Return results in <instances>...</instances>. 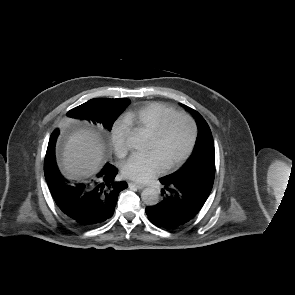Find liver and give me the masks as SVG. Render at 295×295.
I'll return each instance as SVG.
<instances>
[{
    "label": "liver",
    "mask_w": 295,
    "mask_h": 295,
    "mask_svg": "<svg viewBox=\"0 0 295 295\" xmlns=\"http://www.w3.org/2000/svg\"><path fill=\"white\" fill-rule=\"evenodd\" d=\"M104 145L89 131L73 133L65 144L61 158L63 172L69 178H82L95 174L101 167Z\"/></svg>",
    "instance_id": "6515ba94"
}]
</instances>
